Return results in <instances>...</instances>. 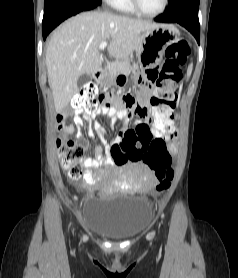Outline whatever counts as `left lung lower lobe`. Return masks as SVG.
<instances>
[{"mask_svg":"<svg viewBox=\"0 0 238 278\" xmlns=\"http://www.w3.org/2000/svg\"><path fill=\"white\" fill-rule=\"evenodd\" d=\"M200 0H169L168 9L154 20L160 23H178L189 30L200 43L198 9Z\"/></svg>","mask_w":238,"mask_h":278,"instance_id":"left-lung-lower-lobe-1","label":"left lung lower lobe"}]
</instances>
